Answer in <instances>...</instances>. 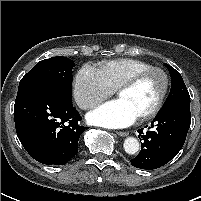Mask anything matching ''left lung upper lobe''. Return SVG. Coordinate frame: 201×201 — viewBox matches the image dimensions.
Segmentation results:
<instances>
[{
    "instance_id": "5c2ea615",
    "label": "left lung upper lobe",
    "mask_w": 201,
    "mask_h": 201,
    "mask_svg": "<svg viewBox=\"0 0 201 201\" xmlns=\"http://www.w3.org/2000/svg\"><path fill=\"white\" fill-rule=\"evenodd\" d=\"M165 66L169 70L171 80H172L171 90L166 99V102L174 100V99H178V98L190 97L180 73L168 64H165Z\"/></svg>"
}]
</instances>
